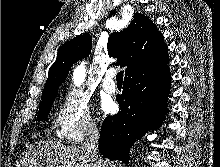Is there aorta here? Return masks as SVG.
Wrapping results in <instances>:
<instances>
[{"label":"aorta","mask_w":220,"mask_h":167,"mask_svg":"<svg viewBox=\"0 0 220 167\" xmlns=\"http://www.w3.org/2000/svg\"><path fill=\"white\" fill-rule=\"evenodd\" d=\"M85 78V68L83 65L78 66L74 71V83L80 85Z\"/></svg>","instance_id":"1"}]
</instances>
